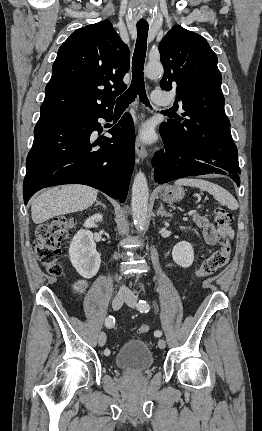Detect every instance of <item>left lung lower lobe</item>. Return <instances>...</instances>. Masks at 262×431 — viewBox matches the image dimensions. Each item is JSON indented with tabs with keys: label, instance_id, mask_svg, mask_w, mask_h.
<instances>
[{
	"label": "left lung lower lobe",
	"instance_id": "0a47b994",
	"mask_svg": "<svg viewBox=\"0 0 262 431\" xmlns=\"http://www.w3.org/2000/svg\"><path fill=\"white\" fill-rule=\"evenodd\" d=\"M164 149L155 153L152 160L154 180L159 184L176 179L204 174H222L240 185L238 152L233 140L220 152H210L191 147H178L160 132Z\"/></svg>",
	"mask_w": 262,
	"mask_h": 431
}]
</instances>
